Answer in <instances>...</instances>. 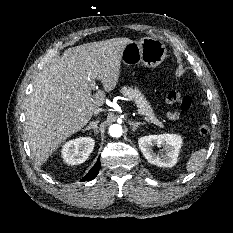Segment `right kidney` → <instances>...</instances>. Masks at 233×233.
<instances>
[{
  "mask_svg": "<svg viewBox=\"0 0 233 233\" xmlns=\"http://www.w3.org/2000/svg\"><path fill=\"white\" fill-rule=\"evenodd\" d=\"M94 144L95 141L91 137H79L66 142L61 150L64 162L69 165L85 162L93 151Z\"/></svg>",
  "mask_w": 233,
  "mask_h": 233,
  "instance_id": "obj_1",
  "label": "right kidney"
}]
</instances>
